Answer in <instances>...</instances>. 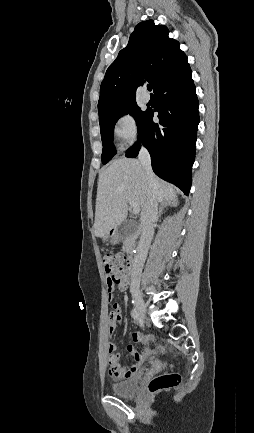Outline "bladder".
Instances as JSON below:
<instances>
[{"instance_id":"1","label":"bladder","mask_w":254,"mask_h":433,"mask_svg":"<svg viewBox=\"0 0 254 433\" xmlns=\"http://www.w3.org/2000/svg\"><path fill=\"white\" fill-rule=\"evenodd\" d=\"M140 376L135 375L125 381L112 383L110 389L112 393L120 397H131L135 395L139 388Z\"/></svg>"}]
</instances>
